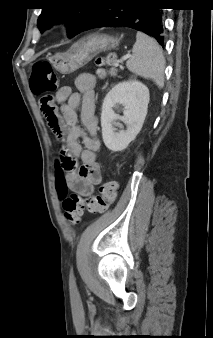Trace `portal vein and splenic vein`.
I'll list each match as a JSON object with an SVG mask.
<instances>
[{"label": "portal vein and splenic vein", "mask_w": 213, "mask_h": 338, "mask_svg": "<svg viewBox=\"0 0 213 338\" xmlns=\"http://www.w3.org/2000/svg\"><path fill=\"white\" fill-rule=\"evenodd\" d=\"M132 57V55L131 54H126V55H124L123 57H122V59H121V62L122 61H125V60H127V59H130ZM119 64H115V66H118Z\"/></svg>", "instance_id": "portal-vein-and-splenic-vein-1"}]
</instances>
